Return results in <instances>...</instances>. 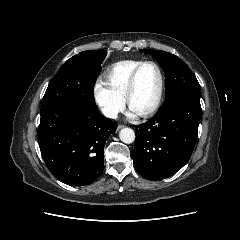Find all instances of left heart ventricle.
<instances>
[{
    "instance_id": "1",
    "label": "left heart ventricle",
    "mask_w": 240,
    "mask_h": 240,
    "mask_svg": "<svg viewBox=\"0 0 240 240\" xmlns=\"http://www.w3.org/2000/svg\"><path fill=\"white\" fill-rule=\"evenodd\" d=\"M159 74L152 65L144 66L137 77L136 88L130 99V107L141 114L154 103L159 89Z\"/></svg>"
}]
</instances>
